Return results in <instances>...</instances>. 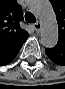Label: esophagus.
Masks as SVG:
<instances>
[{
    "label": "esophagus",
    "mask_w": 65,
    "mask_h": 89,
    "mask_svg": "<svg viewBox=\"0 0 65 89\" xmlns=\"http://www.w3.org/2000/svg\"><path fill=\"white\" fill-rule=\"evenodd\" d=\"M34 29L36 30L37 33H39L41 29V24L40 23H35L33 24Z\"/></svg>",
    "instance_id": "1"
}]
</instances>
